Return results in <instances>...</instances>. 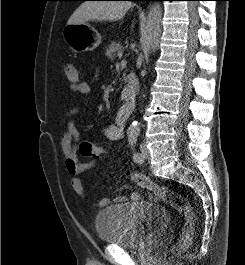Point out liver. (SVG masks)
Listing matches in <instances>:
<instances>
[{
  "label": "liver",
  "mask_w": 245,
  "mask_h": 265,
  "mask_svg": "<svg viewBox=\"0 0 245 265\" xmlns=\"http://www.w3.org/2000/svg\"><path fill=\"white\" fill-rule=\"evenodd\" d=\"M132 7L129 1H85L71 15L67 24H84L88 21H118Z\"/></svg>",
  "instance_id": "obj_1"
}]
</instances>
